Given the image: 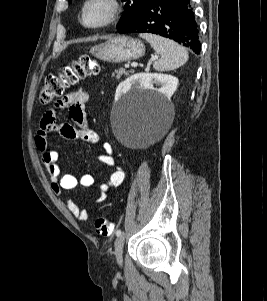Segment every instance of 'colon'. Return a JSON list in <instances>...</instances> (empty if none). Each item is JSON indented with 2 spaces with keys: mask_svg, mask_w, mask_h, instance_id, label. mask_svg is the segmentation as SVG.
Here are the masks:
<instances>
[{
  "mask_svg": "<svg viewBox=\"0 0 267 301\" xmlns=\"http://www.w3.org/2000/svg\"><path fill=\"white\" fill-rule=\"evenodd\" d=\"M100 71L97 61L88 56L83 55L72 65L64 68L59 75H49L41 89L39 100L43 104L50 103L53 99L63 95L65 90L78 83L90 75H96ZM95 229L102 236H110L113 233L112 222L105 217H98L95 220Z\"/></svg>",
  "mask_w": 267,
  "mask_h": 301,
  "instance_id": "obj_1",
  "label": "colon"
}]
</instances>
